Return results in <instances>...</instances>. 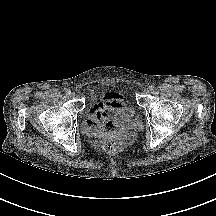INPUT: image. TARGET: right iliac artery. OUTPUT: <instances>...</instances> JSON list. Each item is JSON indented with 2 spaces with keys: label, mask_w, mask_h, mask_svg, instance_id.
Wrapping results in <instances>:
<instances>
[{
  "label": "right iliac artery",
  "mask_w": 216,
  "mask_h": 216,
  "mask_svg": "<svg viewBox=\"0 0 216 216\" xmlns=\"http://www.w3.org/2000/svg\"><path fill=\"white\" fill-rule=\"evenodd\" d=\"M65 93H66L67 95H69V94L71 93V91H70L69 89H65Z\"/></svg>",
  "instance_id": "1"
}]
</instances>
